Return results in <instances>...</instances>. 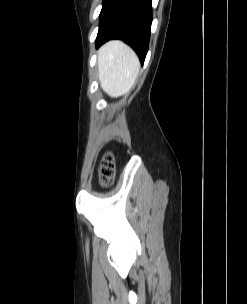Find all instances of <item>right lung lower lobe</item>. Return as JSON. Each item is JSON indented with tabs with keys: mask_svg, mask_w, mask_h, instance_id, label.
Returning <instances> with one entry per match:
<instances>
[{
	"mask_svg": "<svg viewBox=\"0 0 247 304\" xmlns=\"http://www.w3.org/2000/svg\"><path fill=\"white\" fill-rule=\"evenodd\" d=\"M96 47L110 39H121L144 63L152 22V0H103Z\"/></svg>",
	"mask_w": 247,
	"mask_h": 304,
	"instance_id": "98d812e1",
	"label": "right lung lower lobe"
}]
</instances>
